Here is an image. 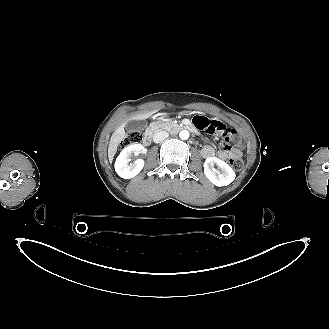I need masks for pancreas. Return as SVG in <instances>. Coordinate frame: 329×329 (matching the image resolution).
<instances>
[{"label":"pancreas","mask_w":329,"mask_h":329,"mask_svg":"<svg viewBox=\"0 0 329 329\" xmlns=\"http://www.w3.org/2000/svg\"><path fill=\"white\" fill-rule=\"evenodd\" d=\"M154 126H155L157 131L166 130V131H169V132H174V130L178 129V127H179L178 124H176L175 122L166 121V120L157 122V123H155Z\"/></svg>","instance_id":"1"}]
</instances>
